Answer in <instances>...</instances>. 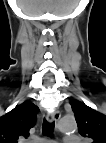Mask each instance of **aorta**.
<instances>
[{
  "instance_id": "1",
  "label": "aorta",
  "mask_w": 106,
  "mask_h": 143,
  "mask_svg": "<svg viewBox=\"0 0 106 143\" xmlns=\"http://www.w3.org/2000/svg\"><path fill=\"white\" fill-rule=\"evenodd\" d=\"M77 129L76 121L73 117H64L59 122V130L65 133H73Z\"/></svg>"
}]
</instances>
